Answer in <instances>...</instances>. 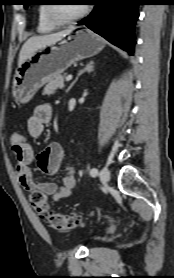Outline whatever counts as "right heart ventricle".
<instances>
[{"instance_id":"right-heart-ventricle-1","label":"right heart ventricle","mask_w":174,"mask_h":278,"mask_svg":"<svg viewBox=\"0 0 174 278\" xmlns=\"http://www.w3.org/2000/svg\"><path fill=\"white\" fill-rule=\"evenodd\" d=\"M47 5L41 4L38 7L37 15H38V25L37 29L40 33H49L56 29V25L50 22V20L47 17L46 13Z\"/></svg>"}]
</instances>
